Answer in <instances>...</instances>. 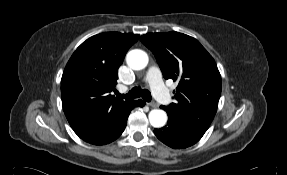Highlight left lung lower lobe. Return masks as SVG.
Segmentation results:
<instances>
[{
	"label": "left lung lower lobe",
	"mask_w": 287,
	"mask_h": 175,
	"mask_svg": "<svg viewBox=\"0 0 287 175\" xmlns=\"http://www.w3.org/2000/svg\"><path fill=\"white\" fill-rule=\"evenodd\" d=\"M157 138L174 149H184L197 143L202 135L184 126L177 119L168 115L167 125L154 130Z\"/></svg>",
	"instance_id": "0a47b994"
}]
</instances>
